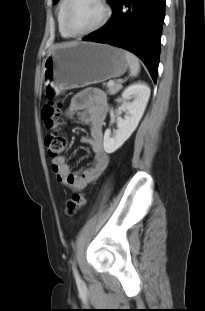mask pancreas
Masks as SVG:
<instances>
[{"label":"pancreas","instance_id":"cf45deb5","mask_svg":"<svg viewBox=\"0 0 205 311\" xmlns=\"http://www.w3.org/2000/svg\"><path fill=\"white\" fill-rule=\"evenodd\" d=\"M107 88V93L110 94V95H114L116 93L119 92V90L122 89V85L119 84V83H115L113 85H110L109 83L107 84H104Z\"/></svg>","mask_w":205,"mask_h":311}]
</instances>
